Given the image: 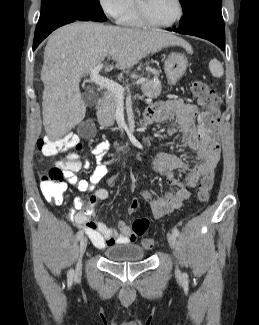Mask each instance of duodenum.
I'll use <instances>...</instances> for the list:
<instances>
[{
	"label": "duodenum",
	"mask_w": 259,
	"mask_h": 325,
	"mask_svg": "<svg viewBox=\"0 0 259 325\" xmlns=\"http://www.w3.org/2000/svg\"><path fill=\"white\" fill-rule=\"evenodd\" d=\"M101 106H102V100L99 99L95 103V108L99 109ZM151 124H152V119L149 116L144 115L143 119H142L141 127H140V132L144 133L149 128V126ZM114 147L117 151L126 153L131 149L132 145L128 142H121V143L117 142L114 144Z\"/></svg>",
	"instance_id": "410a0bca"
}]
</instances>
